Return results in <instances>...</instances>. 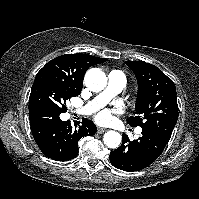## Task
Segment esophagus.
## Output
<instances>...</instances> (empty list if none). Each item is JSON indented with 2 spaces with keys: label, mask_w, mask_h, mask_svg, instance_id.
Masks as SVG:
<instances>
[{
  "label": "esophagus",
  "mask_w": 199,
  "mask_h": 199,
  "mask_svg": "<svg viewBox=\"0 0 199 199\" xmlns=\"http://www.w3.org/2000/svg\"><path fill=\"white\" fill-rule=\"evenodd\" d=\"M106 130H107L106 128H101V127H99V128L97 129V133H98V134H101V133H104Z\"/></svg>",
  "instance_id": "obj_1"
}]
</instances>
